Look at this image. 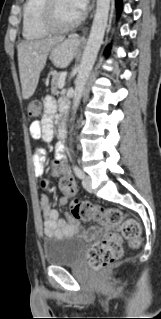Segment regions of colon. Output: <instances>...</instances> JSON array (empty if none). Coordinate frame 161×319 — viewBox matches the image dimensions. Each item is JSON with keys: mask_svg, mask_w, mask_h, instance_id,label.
<instances>
[{"mask_svg": "<svg viewBox=\"0 0 161 319\" xmlns=\"http://www.w3.org/2000/svg\"><path fill=\"white\" fill-rule=\"evenodd\" d=\"M28 116L37 118L41 115V105L33 101L28 105ZM64 190L73 187L70 179L64 178L60 182ZM47 181L43 182V188H47ZM71 215L81 220H106L111 224L120 225L122 236L110 233L106 237L95 242L87 252V262L96 272L102 271L115 264L122 256L123 238L131 245H139L141 232L139 223L132 218L123 219V214L118 208H104L88 201H73Z\"/></svg>", "mask_w": 161, "mask_h": 319, "instance_id": "5ec220e1", "label": "colon"}]
</instances>
